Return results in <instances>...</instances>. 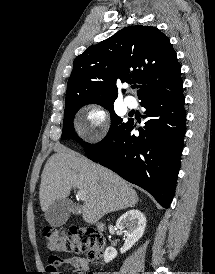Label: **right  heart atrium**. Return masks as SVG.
<instances>
[{
	"label": "right heart atrium",
	"instance_id": "right-heart-atrium-1",
	"mask_svg": "<svg viewBox=\"0 0 215 274\" xmlns=\"http://www.w3.org/2000/svg\"><path fill=\"white\" fill-rule=\"evenodd\" d=\"M110 129L106 109L100 104H88L82 109V120L78 125L79 135L86 141L96 143L105 138Z\"/></svg>",
	"mask_w": 215,
	"mask_h": 274
}]
</instances>
